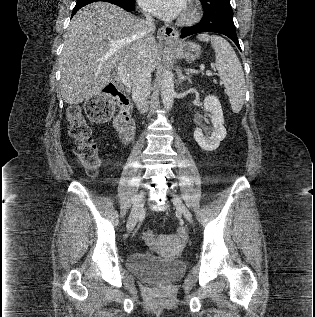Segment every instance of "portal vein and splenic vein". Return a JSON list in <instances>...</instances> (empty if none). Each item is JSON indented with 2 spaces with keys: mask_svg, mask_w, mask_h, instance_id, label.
<instances>
[{
  "mask_svg": "<svg viewBox=\"0 0 315 317\" xmlns=\"http://www.w3.org/2000/svg\"><path fill=\"white\" fill-rule=\"evenodd\" d=\"M193 71H189L187 74L190 75ZM117 74L119 79L121 80V82L125 85H130L131 81L129 78V75L125 72V70L123 69V67H119L117 70ZM207 76H212V72L211 71H207L206 72Z\"/></svg>",
  "mask_w": 315,
  "mask_h": 317,
  "instance_id": "1",
  "label": "portal vein and splenic vein"
}]
</instances>
